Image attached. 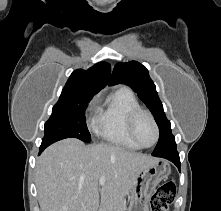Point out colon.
<instances>
[{"label": "colon", "instance_id": "5ec220e1", "mask_svg": "<svg viewBox=\"0 0 221 211\" xmlns=\"http://www.w3.org/2000/svg\"><path fill=\"white\" fill-rule=\"evenodd\" d=\"M175 194L172 181L161 184L150 200V211H167L175 199Z\"/></svg>", "mask_w": 221, "mask_h": 211}]
</instances>
